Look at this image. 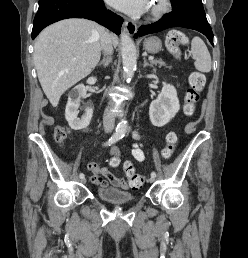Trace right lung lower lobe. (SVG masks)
<instances>
[{
  "label": "right lung lower lobe",
  "mask_w": 248,
  "mask_h": 258,
  "mask_svg": "<svg viewBox=\"0 0 248 258\" xmlns=\"http://www.w3.org/2000/svg\"><path fill=\"white\" fill-rule=\"evenodd\" d=\"M66 18H86L120 34L123 19L106 10L103 0H39L34 18L32 39L46 26Z\"/></svg>",
  "instance_id": "98d812e1"
}]
</instances>
